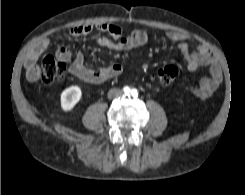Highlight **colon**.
I'll return each mask as SVG.
<instances>
[{
  "instance_id": "5ec220e1",
  "label": "colon",
  "mask_w": 245,
  "mask_h": 195,
  "mask_svg": "<svg viewBox=\"0 0 245 195\" xmlns=\"http://www.w3.org/2000/svg\"><path fill=\"white\" fill-rule=\"evenodd\" d=\"M66 63L52 56H46L42 61L41 79L46 84H51L61 79L66 74ZM179 69L174 65H166L152 74V78L161 86L170 85L178 76Z\"/></svg>"
}]
</instances>
